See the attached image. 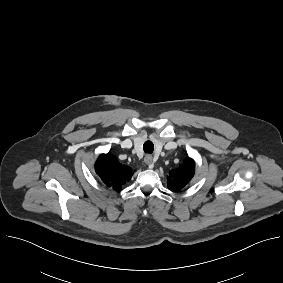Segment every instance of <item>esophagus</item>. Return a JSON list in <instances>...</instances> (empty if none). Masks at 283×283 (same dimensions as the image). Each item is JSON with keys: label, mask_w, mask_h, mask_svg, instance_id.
I'll return each instance as SVG.
<instances>
[{"label": "esophagus", "mask_w": 283, "mask_h": 283, "mask_svg": "<svg viewBox=\"0 0 283 283\" xmlns=\"http://www.w3.org/2000/svg\"><path fill=\"white\" fill-rule=\"evenodd\" d=\"M144 162L151 168L153 167V156L148 154L144 157Z\"/></svg>", "instance_id": "34e87169"}]
</instances>
